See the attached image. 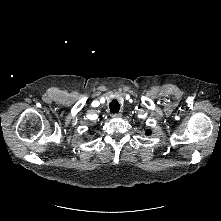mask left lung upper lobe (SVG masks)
Wrapping results in <instances>:
<instances>
[{
    "label": "left lung upper lobe",
    "instance_id": "5c2ea615",
    "mask_svg": "<svg viewBox=\"0 0 221 221\" xmlns=\"http://www.w3.org/2000/svg\"><path fill=\"white\" fill-rule=\"evenodd\" d=\"M150 133H151L150 130H147V131H146V134H147V135H150Z\"/></svg>",
    "mask_w": 221,
    "mask_h": 221
}]
</instances>
